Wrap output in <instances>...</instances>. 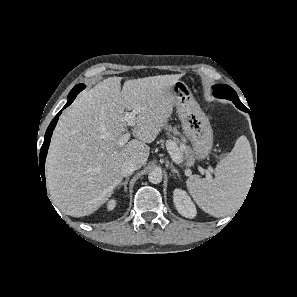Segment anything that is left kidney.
<instances>
[{"label": "left kidney", "mask_w": 297, "mask_h": 297, "mask_svg": "<svg viewBox=\"0 0 297 297\" xmlns=\"http://www.w3.org/2000/svg\"><path fill=\"white\" fill-rule=\"evenodd\" d=\"M173 201L177 211L182 216L186 218H194L196 216V207L186 191L182 189H175L173 194Z\"/></svg>", "instance_id": "obj_1"}]
</instances>
